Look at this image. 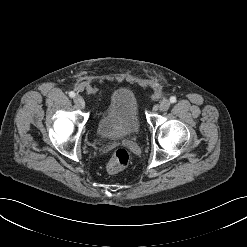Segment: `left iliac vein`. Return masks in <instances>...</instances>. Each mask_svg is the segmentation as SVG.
I'll use <instances>...</instances> for the list:
<instances>
[{
    "instance_id": "left-iliac-vein-1",
    "label": "left iliac vein",
    "mask_w": 247,
    "mask_h": 247,
    "mask_svg": "<svg viewBox=\"0 0 247 247\" xmlns=\"http://www.w3.org/2000/svg\"><path fill=\"white\" fill-rule=\"evenodd\" d=\"M169 107H170V101L167 99L162 100L161 103L159 104L160 111H167Z\"/></svg>"
}]
</instances>
